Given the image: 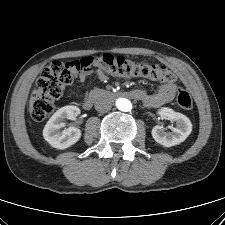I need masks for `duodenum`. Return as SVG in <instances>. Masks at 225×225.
I'll return each mask as SVG.
<instances>
[{"label": "duodenum", "instance_id": "duodenum-1", "mask_svg": "<svg viewBox=\"0 0 225 225\" xmlns=\"http://www.w3.org/2000/svg\"><path fill=\"white\" fill-rule=\"evenodd\" d=\"M118 95L137 98L135 91L133 92L125 91V92L116 93L109 90L96 89V90H93L87 97L84 98L82 102V106L84 109L88 110L92 107L93 103L97 99H100L105 96H118Z\"/></svg>", "mask_w": 225, "mask_h": 225}]
</instances>
